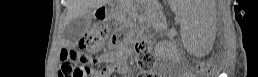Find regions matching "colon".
Returning a JSON list of instances; mask_svg holds the SVG:
<instances>
[{
  "instance_id": "colon-1",
  "label": "colon",
  "mask_w": 258,
  "mask_h": 77,
  "mask_svg": "<svg viewBox=\"0 0 258 77\" xmlns=\"http://www.w3.org/2000/svg\"><path fill=\"white\" fill-rule=\"evenodd\" d=\"M108 37L106 26L98 24L89 29L79 40L77 48H66L61 52L60 77H92L97 76L98 70L93 68L96 60L88 55L90 52L98 51L104 40ZM136 64L142 71L151 70L155 65V56L151 43L139 38L135 41ZM216 62L207 59L200 64V73L208 74L214 68Z\"/></svg>"
}]
</instances>
